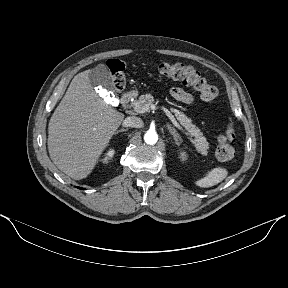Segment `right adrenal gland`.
<instances>
[{"instance_id": "right-adrenal-gland-1", "label": "right adrenal gland", "mask_w": 288, "mask_h": 288, "mask_svg": "<svg viewBox=\"0 0 288 288\" xmlns=\"http://www.w3.org/2000/svg\"><path fill=\"white\" fill-rule=\"evenodd\" d=\"M126 131H128V129L122 128V129L116 131L115 134H118V133H120V132H126Z\"/></svg>"}]
</instances>
